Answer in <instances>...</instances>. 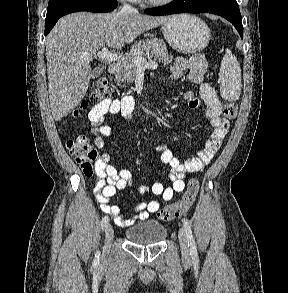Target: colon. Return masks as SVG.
<instances>
[{"label":"colon","instance_id":"colon-1","mask_svg":"<svg viewBox=\"0 0 288 293\" xmlns=\"http://www.w3.org/2000/svg\"><path fill=\"white\" fill-rule=\"evenodd\" d=\"M113 96V90L104 79L96 81L91 92L90 99L92 101H100L109 99ZM85 108V106H83ZM223 113L226 119L233 120L237 115L235 105L227 103L224 105ZM77 114V111L75 112ZM66 147L71 155H73L80 165L86 176L93 174V162L97 158V151L90 145L83 136L70 138L66 141ZM199 191V181L195 178L191 179L187 185V189L182 197L170 205H166L158 212V218L162 221H170L187 213L193 205Z\"/></svg>","mask_w":288,"mask_h":293}]
</instances>
